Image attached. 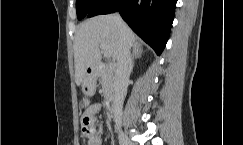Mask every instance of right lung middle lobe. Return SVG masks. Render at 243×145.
Here are the masks:
<instances>
[{
	"label": "right lung middle lobe",
	"instance_id": "right-lung-middle-lobe-1",
	"mask_svg": "<svg viewBox=\"0 0 243 145\" xmlns=\"http://www.w3.org/2000/svg\"><path fill=\"white\" fill-rule=\"evenodd\" d=\"M103 0H76L77 18L81 20Z\"/></svg>",
	"mask_w": 243,
	"mask_h": 145
}]
</instances>
